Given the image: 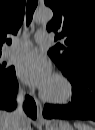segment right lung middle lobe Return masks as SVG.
Wrapping results in <instances>:
<instances>
[{
    "mask_svg": "<svg viewBox=\"0 0 95 130\" xmlns=\"http://www.w3.org/2000/svg\"><path fill=\"white\" fill-rule=\"evenodd\" d=\"M12 70V67H5V64H0V77H5L6 75L10 74Z\"/></svg>",
    "mask_w": 95,
    "mask_h": 130,
    "instance_id": "dd1d6c3e",
    "label": "right lung middle lobe"
}]
</instances>
